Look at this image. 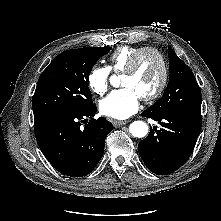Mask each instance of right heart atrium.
<instances>
[{
    "label": "right heart atrium",
    "mask_w": 221,
    "mask_h": 221,
    "mask_svg": "<svg viewBox=\"0 0 221 221\" xmlns=\"http://www.w3.org/2000/svg\"><path fill=\"white\" fill-rule=\"evenodd\" d=\"M110 72L107 67L96 66L88 75V86L92 92L102 95L109 85Z\"/></svg>",
    "instance_id": "obj_1"
}]
</instances>
